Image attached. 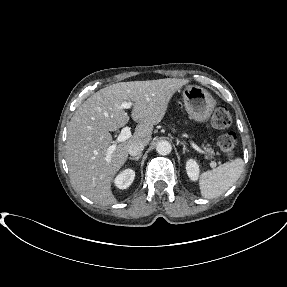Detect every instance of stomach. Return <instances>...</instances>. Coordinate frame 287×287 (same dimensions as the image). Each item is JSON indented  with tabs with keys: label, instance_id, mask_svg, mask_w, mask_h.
Instances as JSON below:
<instances>
[{
	"label": "stomach",
	"instance_id": "stomach-1",
	"mask_svg": "<svg viewBox=\"0 0 287 287\" xmlns=\"http://www.w3.org/2000/svg\"><path fill=\"white\" fill-rule=\"evenodd\" d=\"M182 93L185 109L190 118L200 123L207 122L215 107L212 95L197 85L186 86Z\"/></svg>",
	"mask_w": 287,
	"mask_h": 287
}]
</instances>
